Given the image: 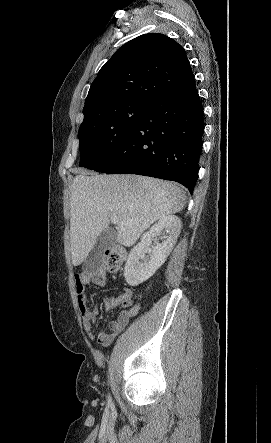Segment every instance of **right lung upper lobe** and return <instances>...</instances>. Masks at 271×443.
<instances>
[{"label": "right lung upper lobe", "mask_w": 271, "mask_h": 443, "mask_svg": "<svg viewBox=\"0 0 271 443\" xmlns=\"http://www.w3.org/2000/svg\"><path fill=\"white\" fill-rule=\"evenodd\" d=\"M194 82L180 44L163 34L141 35L121 46L100 69L85 100L84 120L102 106L126 100L151 103Z\"/></svg>", "instance_id": "1"}]
</instances>
